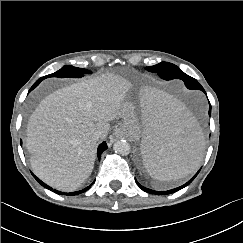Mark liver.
I'll return each instance as SVG.
<instances>
[{
  "mask_svg": "<svg viewBox=\"0 0 243 243\" xmlns=\"http://www.w3.org/2000/svg\"><path fill=\"white\" fill-rule=\"evenodd\" d=\"M130 83L107 73L61 88L38 105L27 125L26 148L33 172L61 191L78 189L92 173L97 140L122 116Z\"/></svg>",
  "mask_w": 243,
  "mask_h": 243,
  "instance_id": "liver-1",
  "label": "liver"
}]
</instances>
